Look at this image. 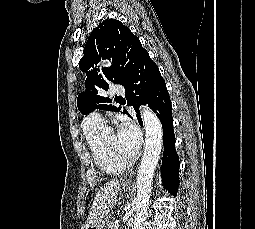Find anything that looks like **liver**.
<instances>
[{
    "label": "liver",
    "mask_w": 255,
    "mask_h": 229,
    "mask_svg": "<svg viewBox=\"0 0 255 229\" xmlns=\"http://www.w3.org/2000/svg\"><path fill=\"white\" fill-rule=\"evenodd\" d=\"M120 182L112 180L100 188L94 197L93 204L90 208L89 215L85 224V229L92 224L104 219L118 200V191Z\"/></svg>",
    "instance_id": "6515ba94"
}]
</instances>
